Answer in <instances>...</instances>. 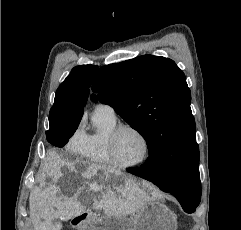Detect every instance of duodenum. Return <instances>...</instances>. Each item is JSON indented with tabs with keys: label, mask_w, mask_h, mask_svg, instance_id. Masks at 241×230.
<instances>
[{
	"label": "duodenum",
	"mask_w": 241,
	"mask_h": 230,
	"mask_svg": "<svg viewBox=\"0 0 241 230\" xmlns=\"http://www.w3.org/2000/svg\"><path fill=\"white\" fill-rule=\"evenodd\" d=\"M89 217L90 216L87 213H81L73 217L71 224L75 228L80 227L89 219Z\"/></svg>",
	"instance_id": "1"
}]
</instances>
